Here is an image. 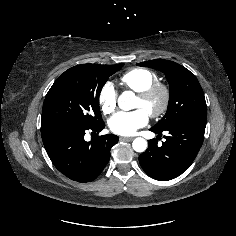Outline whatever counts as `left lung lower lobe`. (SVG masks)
<instances>
[{"label":"left lung lower lobe","instance_id":"obj_1","mask_svg":"<svg viewBox=\"0 0 236 236\" xmlns=\"http://www.w3.org/2000/svg\"><path fill=\"white\" fill-rule=\"evenodd\" d=\"M206 115H194L162 129L150 130L164 136L165 142L158 146L156 139L149 140L147 150L139 156V162L150 177L171 180L186 171L195 159L204 140Z\"/></svg>","mask_w":236,"mask_h":236}]
</instances>
